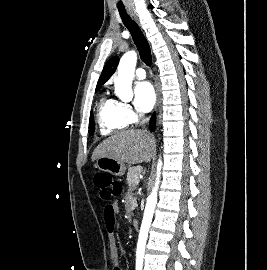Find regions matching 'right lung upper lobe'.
I'll return each instance as SVG.
<instances>
[{
  "mask_svg": "<svg viewBox=\"0 0 267 270\" xmlns=\"http://www.w3.org/2000/svg\"><path fill=\"white\" fill-rule=\"evenodd\" d=\"M119 63L118 56H114L108 60V62L105 64L103 71L101 73V76L98 80L96 90L100 89L101 86L108 81V79L111 77V75L115 72L117 65Z\"/></svg>",
  "mask_w": 267,
  "mask_h": 270,
  "instance_id": "1",
  "label": "right lung upper lobe"
}]
</instances>
